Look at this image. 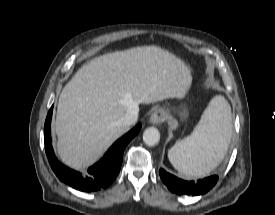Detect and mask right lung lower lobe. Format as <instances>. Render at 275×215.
Wrapping results in <instances>:
<instances>
[{"mask_svg":"<svg viewBox=\"0 0 275 215\" xmlns=\"http://www.w3.org/2000/svg\"><path fill=\"white\" fill-rule=\"evenodd\" d=\"M51 107L48 112L44 126V143L46 154L52 170L57 177L72 188L80 191L92 192L108 187L117 177L121 168L123 152L127 144L139 133L141 124H137L127 134L117 140L104 157L88 169V175H82L62 163H60L54 155L51 145Z\"/></svg>","mask_w":275,"mask_h":215,"instance_id":"98d812e1","label":"right lung lower lobe"}]
</instances>
